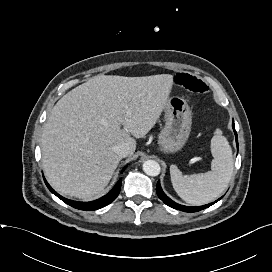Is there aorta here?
<instances>
[{
  "mask_svg": "<svg viewBox=\"0 0 272 272\" xmlns=\"http://www.w3.org/2000/svg\"><path fill=\"white\" fill-rule=\"evenodd\" d=\"M143 171L149 176H157L160 174L161 168L155 160H147L143 163Z\"/></svg>",
  "mask_w": 272,
  "mask_h": 272,
  "instance_id": "obj_1",
  "label": "aorta"
}]
</instances>
